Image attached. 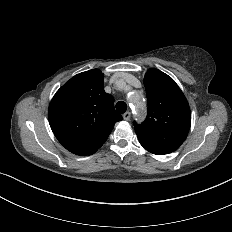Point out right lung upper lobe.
<instances>
[{
  "label": "right lung upper lobe",
  "mask_w": 232,
  "mask_h": 232,
  "mask_svg": "<svg viewBox=\"0 0 232 232\" xmlns=\"http://www.w3.org/2000/svg\"><path fill=\"white\" fill-rule=\"evenodd\" d=\"M48 116L58 141L81 156L94 154L122 120L114 109L113 96L104 91V75L98 69L66 82L51 100Z\"/></svg>",
  "instance_id": "cb5924a9"
}]
</instances>
